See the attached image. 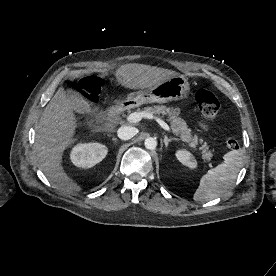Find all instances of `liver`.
I'll use <instances>...</instances> for the list:
<instances>
[{
	"label": "liver",
	"instance_id": "6515ba94",
	"mask_svg": "<svg viewBox=\"0 0 276 276\" xmlns=\"http://www.w3.org/2000/svg\"><path fill=\"white\" fill-rule=\"evenodd\" d=\"M176 75L175 71L136 63L122 65L115 73L118 83L128 89L150 88ZM77 126L68 94L60 87L41 115L34 149L40 169L55 187L68 193L81 190L61 164L65 149L75 140Z\"/></svg>",
	"mask_w": 276,
	"mask_h": 276
}]
</instances>
